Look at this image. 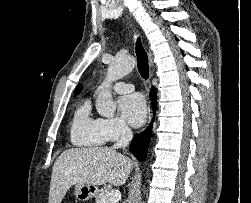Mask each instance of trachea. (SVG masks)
Returning a JSON list of instances; mask_svg holds the SVG:
<instances>
[{
    "mask_svg": "<svg viewBox=\"0 0 251 203\" xmlns=\"http://www.w3.org/2000/svg\"><path fill=\"white\" fill-rule=\"evenodd\" d=\"M136 55L138 71L141 77L147 80L149 77L148 55L140 38H138L136 42Z\"/></svg>",
    "mask_w": 251,
    "mask_h": 203,
    "instance_id": "3493384b",
    "label": "trachea"
}]
</instances>
